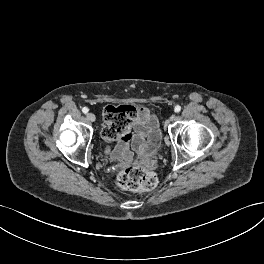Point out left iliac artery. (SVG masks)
I'll list each match as a JSON object with an SVG mask.
<instances>
[{"instance_id":"obj_1","label":"left iliac artery","mask_w":264,"mask_h":264,"mask_svg":"<svg viewBox=\"0 0 264 264\" xmlns=\"http://www.w3.org/2000/svg\"><path fill=\"white\" fill-rule=\"evenodd\" d=\"M174 111L176 113H179L181 111V106H179V105L175 106Z\"/></svg>"}]
</instances>
